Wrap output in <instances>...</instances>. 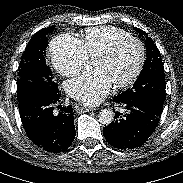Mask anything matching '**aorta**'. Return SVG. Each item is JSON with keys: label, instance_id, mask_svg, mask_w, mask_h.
<instances>
[{"label": "aorta", "instance_id": "obj_1", "mask_svg": "<svg viewBox=\"0 0 183 183\" xmlns=\"http://www.w3.org/2000/svg\"><path fill=\"white\" fill-rule=\"evenodd\" d=\"M99 122L104 125H109L114 120V112L110 109H103L98 114Z\"/></svg>", "mask_w": 183, "mask_h": 183}]
</instances>
